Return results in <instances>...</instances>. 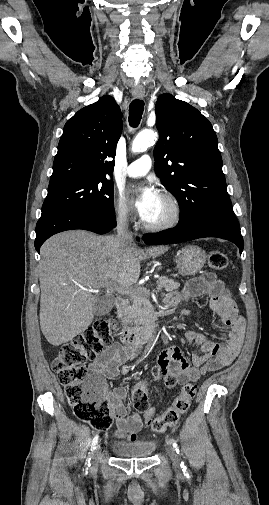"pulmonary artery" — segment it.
<instances>
[{"label": "pulmonary artery", "mask_w": 269, "mask_h": 505, "mask_svg": "<svg viewBox=\"0 0 269 505\" xmlns=\"http://www.w3.org/2000/svg\"><path fill=\"white\" fill-rule=\"evenodd\" d=\"M152 167V159L149 155H143L132 162L126 168V175L129 177H140L146 175Z\"/></svg>", "instance_id": "e3ab8cb5"}]
</instances>
